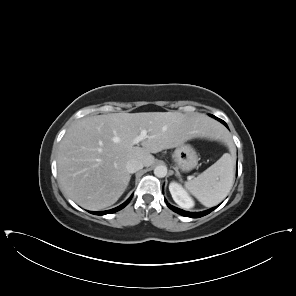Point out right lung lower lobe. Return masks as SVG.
Returning a JSON list of instances; mask_svg holds the SVG:
<instances>
[{
    "mask_svg": "<svg viewBox=\"0 0 296 296\" xmlns=\"http://www.w3.org/2000/svg\"><path fill=\"white\" fill-rule=\"evenodd\" d=\"M132 196L126 201L124 202L122 205L114 208V209H111V210H108V211H102V212H90V213H93L95 215H104V214H110V213H114V212H117L119 210H121L122 208H124L131 200Z\"/></svg>",
    "mask_w": 296,
    "mask_h": 296,
    "instance_id": "98d812e1",
    "label": "right lung lower lobe"
}]
</instances>
